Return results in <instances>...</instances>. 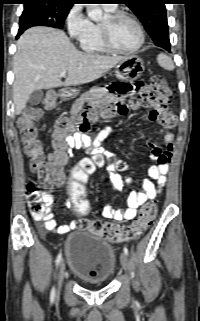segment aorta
I'll use <instances>...</instances> for the list:
<instances>
[{
    "mask_svg": "<svg viewBox=\"0 0 200 321\" xmlns=\"http://www.w3.org/2000/svg\"><path fill=\"white\" fill-rule=\"evenodd\" d=\"M87 14L89 18L97 21L102 18L103 11L100 8L99 4H87Z\"/></svg>",
    "mask_w": 200,
    "mask_h": 321,
    "instance_id": "aorta-1",
    "label": "aorta"
}]
</instances>
